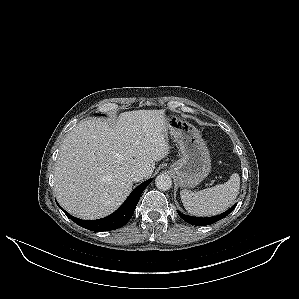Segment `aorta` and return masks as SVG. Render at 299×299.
Segmentation results:
<instances>
[{
    "mask_svg": "<svg viewBox=\"0 0 299 299\" xmlns=\"http://www.w3.org/2000/svg\"><path fill=\"white\" fill-rule=\"evenodd\" d=\"M155 185L159 190L167 191L172 186V179L167 174H160L155 179Z\"/></svg>",
    "mask_w": 299,
    "mask_h": 299,
    "instance_id": "1",
    "label": "aorta"
}]
</instances>
